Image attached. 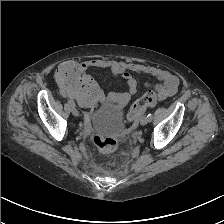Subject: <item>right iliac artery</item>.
<instances>
[{"instance_id":"1","label":"right iliac artery","mask_w":224,"mask_h":224,"mask_svg":"<svg viewBox=\"0 0 224 224\" xmlns=\"http://www.w3.org/2000/svg\"><path fill=\"white\" fill-rule=\"evenodd\" d=\"M68 104H69L71 107H75V103H74L72 100H68Z\"/></svg>"}]
</instances>
